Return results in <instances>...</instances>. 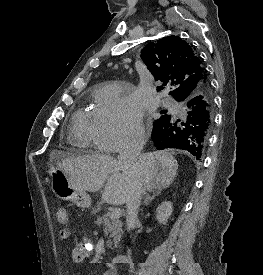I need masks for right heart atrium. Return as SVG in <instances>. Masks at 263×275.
I'll return each instance as SVG.
<instances>
[{
    "instance_id": "right-heart-atrium-1",
    "label": "right heart atrium",
    "mask_w": 263,
    "mask_h": 275,
    "mask_svg": "<svg viewBox=\"0 0 263 275\" xmlns=\"http://www.w3.org/2000/svg\"><path fill=\"white\" fill-rule=\"evenodd\" d=\"M142 109L130 89L107 87L98 96L96 144L116 152L140 143L144 138Z\"/></svg>"
}]
</instances>
